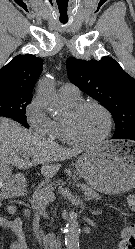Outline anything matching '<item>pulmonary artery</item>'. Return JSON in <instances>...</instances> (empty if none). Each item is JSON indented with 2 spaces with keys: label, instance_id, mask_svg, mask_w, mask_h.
Here are the masks:
<instances>
[{
  "label": "pulmonary artery",
  "instance_id": "1",
  "mask_svg": "<svg viewBox=\"0 0 135 249\" xmlns=\"http://www.w3.org/2000/svg\"><path fill=\"white\" fill-rule=\"evenodd\" d=\"M59 93L62 98L70 100H78L80 98L79 88L72 83H65L59 88Z\"/></svg>",
  "mask_w": 135,
  "mask_h": 249
}]
</instances>
